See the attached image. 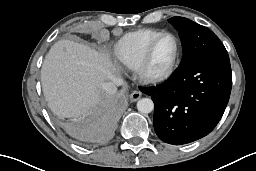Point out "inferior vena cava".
Segmentation results:
<instances>
[{
    "label": "inferior vena cava",
    "mask_w": 256,
    "mask_h": 171,
    "mask_svg": "<svg viewBox=\"0 0 256 171\" xmlns=\"http://www.w3.org/2000/svg\"><path fill=\"white\" fill-rule=\"evenodd\" d=\"M123 83L122 79H115L111 82H107L103 84V90L109 94L113 95L117 92V86Z\"/></svg>",
    "instance_id": "1"
}]
</instances>
